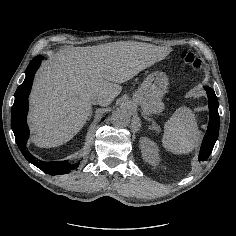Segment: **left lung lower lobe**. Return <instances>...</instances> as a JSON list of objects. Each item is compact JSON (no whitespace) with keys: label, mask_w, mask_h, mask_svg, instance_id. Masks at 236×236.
<instances>
[{"label":"left lung lower lobe","mask_w":236,"mask_h":236,"mask_svg":"<svg viewBox=\"0 0 236 236\" xmlns=\"http://www.w3.org/2000/svg\"><path fill=\"white\" fill-rule=\"evenodd\" d=\"M205 90L208 95L210 120L199 154V160L202 161L207 160L213 150L214 144L219 134V119H220L218 114L219 104L214 90L207 86L205 87Z\"/></svg>","instance_id":"1"}]
</instances>
